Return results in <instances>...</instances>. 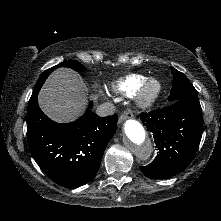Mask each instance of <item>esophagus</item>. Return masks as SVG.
Listing matches in <instances>:
<instances>
[{
	"mask_svg": "<svg viewBox=\"0 0 221 221\" xmlns=\"http://www.w3.org/2000/svg\"><path fill=\"white\" fill-rule=\"evenodd\" d=\"M132 117V112L130 110H126L124 111L120 117H119V120H118V123H123L126 119Z\"/></svg>",
	"mask_w": 221,
	"mask_h": 221,
	"instance_id": "obj_1",
	"label": "esophagus"
}]
</instances>
